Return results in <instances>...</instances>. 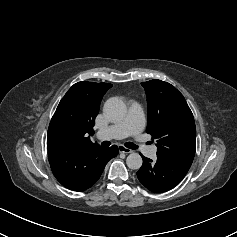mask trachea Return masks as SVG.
Masks as SVG:
<instances>
[{"instance_id":"1","label":"trachea","mask_w":237,"mask_h":237,"mask_svg":"<svg viewBox=\"0 0 237 237\" xmlns=\"http://www.w3.org/2000/svg\"><path fill=\"white\" fill-rule=\"evenodd\" d=\"M110 144L111 143L109 141H103L101 143L102 147H108V146H110ZM125 146L129 149H137L138 148L137 145H135L134 143H131V142L126 143Z\"/></svg>"}]
</instances>
